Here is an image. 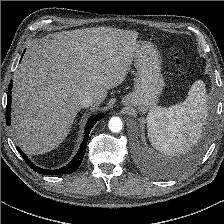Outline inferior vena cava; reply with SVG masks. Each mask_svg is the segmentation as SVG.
Wrapping results in <instances>:
<instances>
[{"label": "inferior vena cava", "instance_id": "602c4592", "mask_svg": "<svg viewBox=\"0 0 224 224\" xmlns=\"http://www.w3.org/2000/svg\"><path fill=\"white\" fill-rule=\"evenodd\" d=\"M79 104L82 108H87L93 105H97V102L91 95H84L80 98Z\"/></svg>", "mask_w": 224, "mask_h": 224}]
</instances>
